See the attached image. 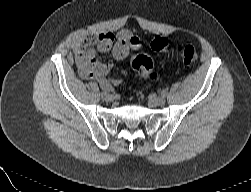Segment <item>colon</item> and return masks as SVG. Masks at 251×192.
I'll use <instances>...</instances> for the list:
<instances>
[{
    "label": "colon",
    "mask_w": 251,
    "mask_h": 192,
    "mask_svg": "<svg viewBox=\"0 0 251 192\" xmlns=\"http://www.w3.org/2000/svg\"><path fill=\"white\" fill-rule=\"evenodd\" d=\"M151 48L156 52H167L172 49V45L167 38L157 36L151 42ZM177 52L186 65L196 62L199 58L198 51L192 45L180 44L177 46ZM131 66L142 78H156L153 61L148 55H136L131 61Z\"/></svg>",
    "instance_id": "5ec220e1"
}]
</instances>
